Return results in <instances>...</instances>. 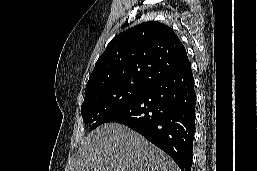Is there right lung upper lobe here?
<instances>
[{
	"instance_id": "cb5924a9",
	"label": "right lung upper lobe",
	"mask_w": 257,
	"mask_h": 171,
	"mask_svg": "<svg viewBox=\"0 0 257 171\" xmlns=\"http://www.w3.org/2000/svg\"><path fill=\"white\" fill-rule=\"evenodd\" d=\"M189 63L174 31L165 24L148 21L111 40L95 64L86 91L115 83L149 85Z\"/></svg>"
}]
</instances>
